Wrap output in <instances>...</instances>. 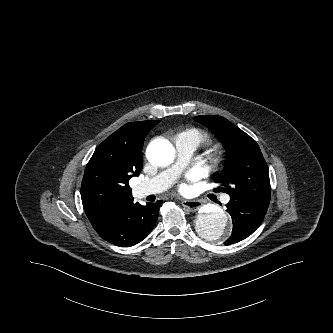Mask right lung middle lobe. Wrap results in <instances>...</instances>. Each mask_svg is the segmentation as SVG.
Listing matches in <instances>:
<instances>
[{
    "mask_svg": "<svg viewBox=\"0 0 333 333\" xmlns=\"http://www.w3.org/2000/svg\"><path fill=\"white\" fill-rule=\"evenodd\" d=\"M160 121H155V122H151L150 124H149V131H150V129L152 128V126H155L156 124H158Z\"/></svg>",
    "mask_w": 333,
    "mask_h": 333,
    "instance_id": "right-lung-middle-lobe-1",
    "label": "right lung middle lobe"
}]
</instances>
